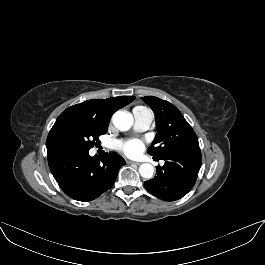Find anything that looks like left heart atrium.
Listing matches in <instances>:
<instances>
[{
    "mask_svg": "<svg viewBox=\"0 0 265 265\" xmlns=\"http://www.w3.org/2000/svg\"><path fill=\"white\" fill-rule=\"evenodd\" d=\"M118 148L128 156H136L143 149V143L140 140L132 139L125 142H119Z\"/></svg>",
    "mask_w": 265,
    "mask_h": 265,
    "instance_id": "39dd6f15",
    "label": "left heart atrium"
}]
</instances>
